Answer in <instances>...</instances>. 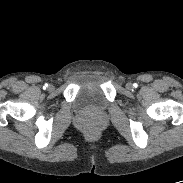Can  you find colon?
<instances>
[{"label":"colon","instance_id":"colon-1","mask_svg":"<svg viewBox=\"0 0 183 183\" xmlns=\"http://www.w3.org/2000/svg\"><path fill=\"white\" fill-rule=\"evenodd\" d=\"M85 130L89 134H94L97 131V126L94 120L88 119L85 122Z\"/></svg>","mask_w":183,"mask_h":183}]
</instances>
